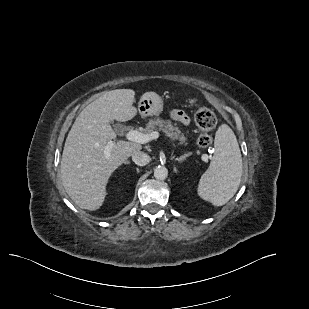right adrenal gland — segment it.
Masks as SVG:
<instances>
[{"label":"right adrenal gland","mask_w":309,"mask_h":309,"mask_svg":"<svg viewBox=\"0 0 309 309\" xmlns=\"http://www.w3.org/2000/svg\"><path fill=\"white\" fill-rule=\"evenodd\" d=\"M124 164H130V162L128 160L124 161Z\"/></svg>","instance_id":"1"}]
</instances>
